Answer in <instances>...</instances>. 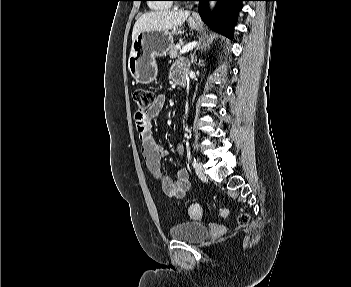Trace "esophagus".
Segmentation results:
<instances>
[{
    "instance_id": "obj_1",
    "label": "esophagus",
    "mask_w": 351,
    "mask_h": 287,
    "mask_svg": "<svg viewBox=\"0 0 351 287\" xmlns=\"http://www.w3.org/2000/svg\"><path fill=\"white\" fill-rule=\"evenodd\" d=\"M192 17H194V18H195V17H196V16H195V14H193V15H192Z\"/></svg>"
}]
</instances>
